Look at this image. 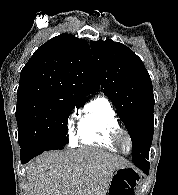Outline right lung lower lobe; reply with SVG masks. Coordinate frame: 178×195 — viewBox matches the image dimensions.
Here are the masks:
<instances>
[{"mask_svg": "<svg viewBox=\"0 0 178 195\" xmlns=\"http://www.w3.org/2000/svg\"><path fill=\"white\" fill-rule=\"evenodd\" d=\"M55 149H63V147H49V148H29V149H21V162L27 163L33 157L41 154L47 150H55Z\"/></svg>", "mask_w": 178, "mask_h": 195, "instance_id": "1", "label": "right lung lower lobe"}]
</instances>
